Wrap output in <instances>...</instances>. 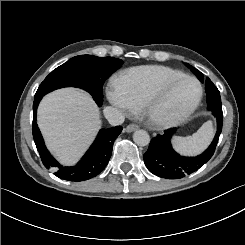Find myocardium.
<instances>
[{
	"label": "myocardium",
	"instance_id": "obj_1",
	"mask_svg": "<svg viewBox=\"0 0 245 245\" xmlns=\"http://www.w3.org/2000/svg\"><path fill=\"white\" fill-rule=\"evenodd\" d=\"M189 80L197 86V96L192 105L179 114H172L161 109L157 96L161 90L177 82ZM203 95L201 83L192 76L183 75L174 78H165L156 81L147 91L143 99V108L148 120L156 127H168L188 118L198 107Z\"/></svg>",
	"mask_w": 245,
	"mask_h": 245
}]
</instances>
